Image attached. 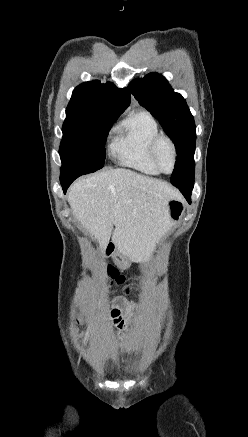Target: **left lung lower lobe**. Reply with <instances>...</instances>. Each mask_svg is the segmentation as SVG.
Here are the masks:
<instances>
[{"mask_svg": "<svg viewBox=\"0 0 248 437\" xmlns=\"http://www.w3.org/2000/svg\"><path fill=\"white\" fill-rule=\"evenodd\" d=\"M192 189H189V190L179 189L181 191V193L185 196L186 200L189 203H191V192H192Z\"/></svg>", "mask_w": 248, "mask_h": 437, "instance_id": "1", "label": "left lung lower lobe"}]
</instances>
